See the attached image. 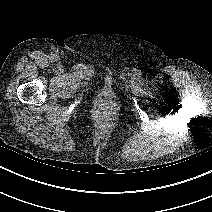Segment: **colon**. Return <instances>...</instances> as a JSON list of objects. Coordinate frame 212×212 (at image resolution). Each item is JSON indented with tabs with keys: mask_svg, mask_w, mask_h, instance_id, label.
Here are the masks:
<instances>
[{
	"mask_svg": "<svg viewBox=\"0 0 212 212\" xmlns=\"http://www.w3.org/2000/svg\"><path fill=\"white\" fill-rule=\"evenodd\" d=\"M101 115H102V117H107L108 116V113L106 111H102L101 112Z\"/></svg>",
	"mask_w": 212,
	"mask_h": 212,
	"instance_id": "5ec220e1",
	"label": "colon"
}]
</instances>
